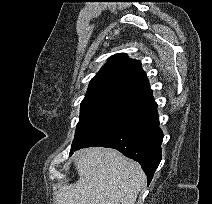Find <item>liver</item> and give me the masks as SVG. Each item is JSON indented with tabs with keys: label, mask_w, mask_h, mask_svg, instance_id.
Listing matches in <instances>:
<instances>
[{
	"label": "liver",
	"mask_w": 212,
	"mask_h": 204,
	"mask_svg": "<svg viewBox=\"0 0 212 204\" xmlns=\"http://www.w3.org/2000/svg\"><path fill=\"white\" fill-rule=\"evenodd\" d=\"M79 180L60 187L53 204H135L146 184L138 163L109 148H86L75 155Z\"/></svg>",
	"instance_id": "1"
}]
</instances>
